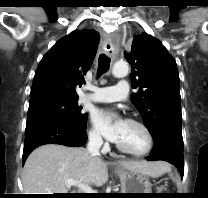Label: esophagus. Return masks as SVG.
<instances>
[{
    "instance_id": "obj_1",
    "label": "esophagus",
    "mask_w": 208,
    "mask_h": 198,
    "mask_svg": "<svg viewBox=\"0 0 208 198\" xmlns=\"http://www.w3.org/2000/svg\"><path fill=\"white\" fill-rule=\"evenodd\" d=\"M104 51H105L106 54H109V55L111 54V52H112V45H111L110 42H107L105 44Z\"/></svg>"
}]
</instances>
